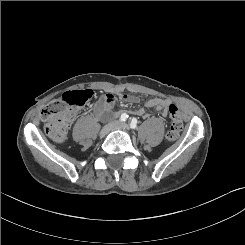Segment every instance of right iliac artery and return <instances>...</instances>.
Returning a JSON list of instances; mask_svg holds the SVG:
<instances>
[{"label":"right iliac artery","mask_w":245,"mask_h":245,"mask_svg":"<svg viewBox=\"0 0 245 245\" xmlns=\"http://www.w3.org/2000/svg\"><path fill=\"white\" fill-rule=\"evenodd\" d=\"M127 118H128V114H127V113H123V114L120 116V121H121V122H124V121L127 120Z\"/></svg>","instance_id":"82829eb1"}]
</instances>
